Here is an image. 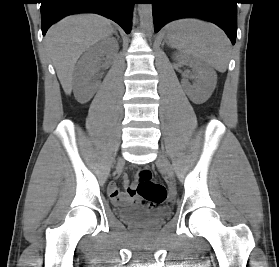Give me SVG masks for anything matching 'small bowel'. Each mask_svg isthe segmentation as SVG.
Wrapping results in <instances>:
<instances>
[{
    "instance_id": "1",
    "label": "small bowel",
    "mask_w": 279,
    "mask_h": 267,
    "mask_svg": "<svg viewBox=\"0 0 279 267\" xmlns=\"http://www.w3.org/2000/svg\"><path fill=\"white\" fill-rule=\"evenodd\" d=\"M123 182L129 184V179L124 176ZM109 195L115 204H131L136 201L137 193L133 186L128 187L127 192L122 193L116 183H111L108 187Z\"/></svg>"
}]
</instances>
